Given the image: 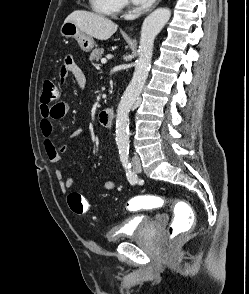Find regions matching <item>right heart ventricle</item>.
Instances as JSON below:
<instances>
[{
    "label": "right heart ventricle",
    "instance_id": "right-heart-ventricle-1",
    "mask_svg": "<svg viewBox=\"0 0 249 294\" xmlns=\"http://www.w3.org/2000/svg\"><path fill=\"white\" fill-rule=\"evenodd\" d=\"M93 10L104 16H115L120 10L119 0H89Z\"/></svg>",
    "mask_w": 249,
    "mask_h": 294
}]
</instances>
